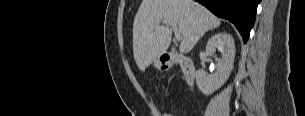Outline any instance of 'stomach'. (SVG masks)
<instances>
[{"instance_id":"1","label":"stomach","mask_w":305,"mask_h":116,"mask_svg":"<svg viewBox=\"0 0 305 116\" xmlns=\"http://www.w3.org/2000/svg\"><path fill=\"white\" fill-rule=\"evenodd\" d=\"M154 66H155L157 69H159V70L162 69V65H161V63H160L158 60L155 61Z\"/></svg>"}]
</instances>
